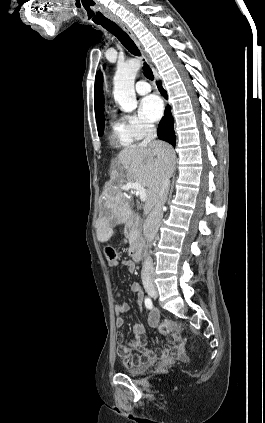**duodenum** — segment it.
I'll return each mask as SVG.
<instances>
[{
  "label": "duodenum",
  "mask_w": 265,
  "mask_h": 423,
  "mask_svg": "<svg viewBox=\"0 0 265 423\" xmlns=\"http://www.w3.org/2000/svg\"><path fill=\"white\" fill-rule=\"evenodd\" d=\"M130 252L133 260L138 263L141 260V250L138 244V241L135 238H132L130 241Z\"/></svg>",
  "instance_id": "duodenum-1"
}]
</instances>
